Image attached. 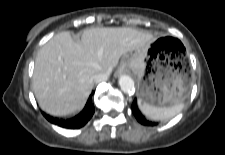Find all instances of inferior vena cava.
Returning a JSON list of instances; mask_svg holds the SVG:
<instances>
[{"instance_id":"1","label":"inferior vena cava","mask_w":225,"mask_h":155,"mask_svg":"<svg viewBox=\"0 0 225 155\" xmlns=\"http://www.w3.org/2000/svg\"><path fill=\"white\" fill-rule=\"evenodd\" d=\"M109 72H104V73H99L97 75L94 76V82L95 83H101L104 81H107L109 78Z\"/></svg>"}]
</instances>
